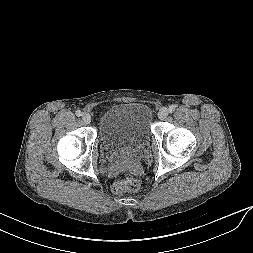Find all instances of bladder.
I'll list each match as a JSON object with an SVG mask.
<instances>
[{"label": "bladder", "instance_id": "bladder-1", "mask_svg": "<svg viewBox=\"0 0 253 253\" xmlns=\"http://www.w3.org/2000/svg\"><path fill=\"white\" fill-rule=\"evenodd\" d=\"M152 113L140 102H121L109 108L99 122V136L109 155L139 151L151 135Z\"/></svg>", "mask_w": 253, "mask_h": 253}]
</instances>
